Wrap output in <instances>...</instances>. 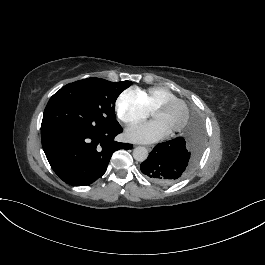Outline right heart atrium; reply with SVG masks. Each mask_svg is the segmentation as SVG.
Returning <instances> with one entry per match:
<instances>
[{
    "label": "right heart atrium",
    "mask_w": 265,
    "mask_h": 265,
    "mask_svg": "<svg viewBox=\"0 0 265 265\" xmlns=\"http://www.w3.org/2000/svg\"><path fill=\"white\" fill-rule=\"evenodd\" d=\"M119 118L126 124L141 122L149 116L143 102L132 92L123 93L117 101Z\"/></svg>",
    "instance_id": "d8ad5b80"
}]
</instances>
